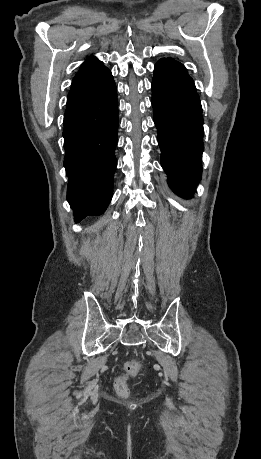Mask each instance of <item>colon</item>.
<instances>
[{"label":"colon","mask_w":261,"mask_h":459,"mask_svg":"<svg viewBox=\"0 0 261 459\" xmlns=\"http://www.w3.org/2000/svg\"><path fill=\"white\" fill-rule=\"evenodd\" d=\"M140 367L139 360H132L124 365L119 376L115 380V391L121 397H127L129 394L128 382Z\"/></svg>","instance_id":"obj_1"}]
</instances>
